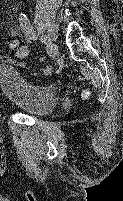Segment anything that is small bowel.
I'll use <instances>...</instances> for the list:
<instances>
[{
    "instance_id": "1",
    "label": "small bowel",
    "mask_w": 123,
    "mask_h": 201,
    "mask_svg": "<svg viewBox=\"0 0 123 201\" xmlns=\"http://www.w3.org/2000/svg\"><path fill=\"white\" fill-rule=\"evenodd\" d=\"M22 30V29H21ZM23 32V30H22ZM24 33V32H23ZM25 34V33H24ZM26 35V34H25ZM8 40H9V43L10 41L14 40L17 36H18V31L16 28L14 27H11L9 30H8ZM0 60L8 63V64H11V65H20L21 63H19L17 60H15L14 58L12 57H9V56H6V55H0Z\"/></svg>"
}]
</instances>
